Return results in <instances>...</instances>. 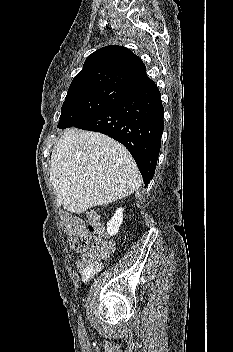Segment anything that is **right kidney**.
I'll return each mask as SVG.
<instances>
[{"label":"right kidney","instance_id":"1","mask_svg":"<svg viewBox=\"0 0 233 352\" xmlns=\"http://www.w3.org/2000/svg\"><path fill=\"white\" fill-rule=\"evenodd\" d=\"M123 211L122 207L115 211V214L111 220L107 223V232L112 236L118 233L119 227L123 222Z\"/></svg>","mask_w":233,"mask_h":352}]
</instances>
